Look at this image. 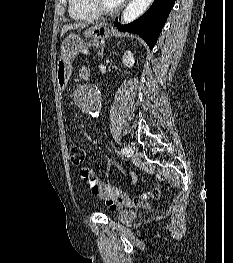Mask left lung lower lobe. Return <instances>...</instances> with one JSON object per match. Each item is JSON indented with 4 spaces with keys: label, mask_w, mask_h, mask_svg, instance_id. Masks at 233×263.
<instances>
[{
    "label": "left lung lower lobe",
    "mask_w": 233,
    "mask_h": 263,
    "mask_svg": "<svg viewBox=\"0 0 233 263\" xmlns=\"http://www.w3.org/2000/svg\"><path fill=\"white\" fill-rule=\"evenodd\" d=\"M175 0H155L148 11L136 21L127 25L114 24L120 31L132 32L141 38L152 49L173 8Z\"/></svg>",
    "instance_id": "0a47b994"
}]
</instances>
